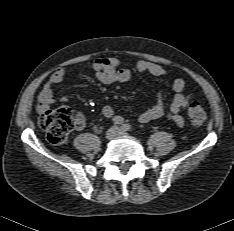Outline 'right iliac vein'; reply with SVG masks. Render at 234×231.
Masks as SVG:
<instances>
[{
	"label": "right iliac vein",
	"instance_id": "1",
	"mask_svg": "<svg viewBox=\"0 0 234 231\" xmlns=\"http://www.w3.org/2000/svg\"><path fill=\"white\" fill-rule=\"evenodd\" d=\"M119 134V129L117 127H112L106 132V139L113 140Z\"/></svg>",
	"mask_w": 234,
	"mask_h": 231
}]
</instances>
